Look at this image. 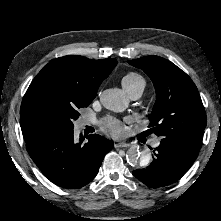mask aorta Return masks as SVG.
Masks as SVG:
<instances>
[{
  "label": "aorta",
  "mask_w": 221,
  "mask_h": 221,
  "mask_svg": "<svg viewBox=\"0 0 221 221\" xmlns=\"http://www.w3.org/2000/svg\"><path fill=\"white\" fill-rule=\"evenodd\" d=\"M102 105L111 111L122 112L128 106L125 93L118 88L106 89L100 96ZM126 160L134 168L146 167L151 162V153L146 148L132 146L127 150Z\"/></svg>",
  "instance_id": "obj_1"
}]
</instances>
